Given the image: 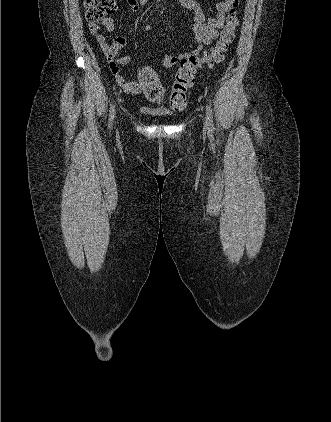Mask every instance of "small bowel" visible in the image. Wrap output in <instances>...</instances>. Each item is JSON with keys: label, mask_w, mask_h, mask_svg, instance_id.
<instances>
[{"label": "small bowel", "mask_w": 331, "mask_h": 422, "mask_svg": "<svg viewBox=\"0 0 331 422\" xmlns=\"http://www.w3.org/2000/svg\"><path fill=\"white\" fill-rule=\"evenodd\" d=\"M236 0H225L216 5V15L205 20L202 8L196 0H178L181 6L194 13L193 32L197 45L189 52H183L178 55L164 54L162 63L165 67L170 68L181 63L182 60L190 57H198L203 51V46L210 44L218 36V30L223 27L226 15L231 11ZM132 12H138L142 6H145L149 0H126ZM91 34L96 38L97 44L104 53L109 68L114 75L118 85L125 93L139 94L143 92L142 85L139 81H129L120 73V66L127 65L131 62L128 57L117 58L118 52L125 46V37L119 36L111 43H107L105 37L101 33V27L97 23L89 24ZM104 28L108 32L115 29V22L108 18L104 21ZM151 26L144 27L145 32L151 31Z\"/></svg>", "instance_id": "small-bowel-1"}]
</instances>
